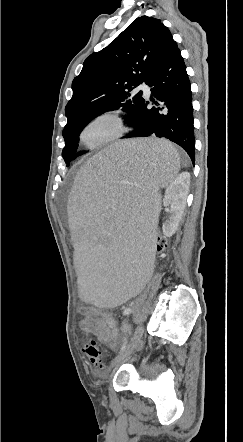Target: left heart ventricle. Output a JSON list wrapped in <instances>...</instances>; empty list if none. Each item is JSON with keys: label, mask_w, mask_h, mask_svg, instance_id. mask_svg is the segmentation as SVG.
I'll use <instances>...</instances> for the list:
<instances>
[{"label": "left heart ventricle", "mask_w": 243, "mask_h": 442, "mask_svg": "<svg viewBox=\"0 0 243 442\" xmlns=\"http://www.w3.org/2000/svg\"><path fill=\"white\" fill-rule=\"evenodd\" d=\"M115 124L111 120H100L90 125L84 132L86 143L93 144L101 141L115 131Z\"/></svg>", "instance_id": "1"}]
</instances>
